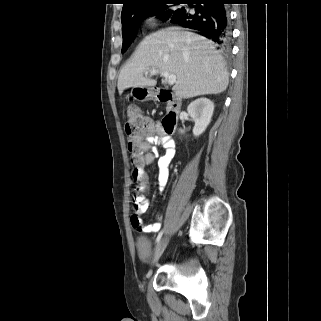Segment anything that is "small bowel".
Returning a JSON list of instances; mask_svg holds the SVG:
<instances>
[{"label":"small bowel","mask_w":321,"mask_h":321,"mask_svg":"<svg viewBox=\"0 0 321 321\" xmlns=\"http://www.w3.org/2000/svg\"><path fill=\"white\" fill-rule=\"evenodd\" d=\"M144 144L147 146L148 151L145 154V160L151 161L154 157V153L151 151V147L158 145L164 148V153L158 159V187L160 191H163L169 181L170 176V164L175 156V143L173 139L164 133L161 127L157 124L152 126V130L144 140ZM137 189L133 196V206L135 213L138 215V219L134 220L131 216L130 222L134 229L143 233H155L161 227L160 220L162 215H158V221L152 224H145L141 221L139 215L145 213L149 208V202L146 198H139Z\"/></svg>","instance_id":"obj_1"}]
</instances>
